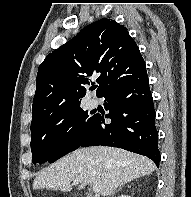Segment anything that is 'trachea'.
Returning <instances> with one entry per match:
<instances>
[{
	"mask_svg": "<svg viewBox=\"0 0 191 197\" xmlns=\"http://www.w3.org/2000/svg\"><path fill=\"white\" fill-rule=\"evenodd\" d=\"M96 87H97V86H93L92 89L94 90V89H96Z\"/></svg>",
	"mask_w": 191,
	"mask_h": 197,
	"instance_id": "obj_1",
	"label": "trachea"
}]
</instances>
